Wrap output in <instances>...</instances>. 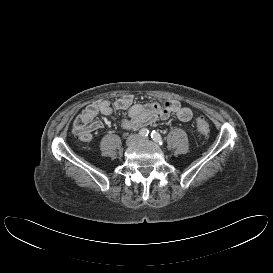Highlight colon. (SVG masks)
Listing matches in <instances>:
<instances>
[{
    "label": "colon",
    "instance_id": "obj_1",
    "mask_svg": "<svg viewBox=\"0 0 273 273\" xmlns=\"http://www.w3.org/2000/svg\"><path fill=\"white\" fill-rule=\"evenodd\" d=\"M196 127L197 130L203 135H208L210 132V125L208 121L203 117H198L196 119Z\"/></svg>",
    "mask_w": 273,
    "mask_h": 273
}]
</instances>
